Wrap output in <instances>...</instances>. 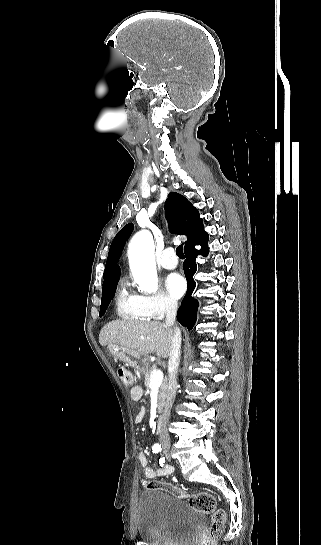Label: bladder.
Segmentation results:
<instances>
[{"label":"bladder","instance_id":"31cf9c89","mask_svg":"<svg viewBox=\"0 0 321 545\" xmlns=\"http://www.w3.org/2000/svg\"><path fill=\"white\" fill-rule=\"evenodd\" d=\"M205 525L203 512L163 489L146 490L138 498V535L148 545H191Z\"/></svg>","mask_w":321,"mask_h":545}]
</instances>
